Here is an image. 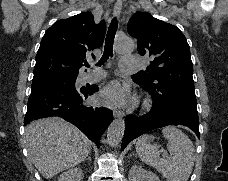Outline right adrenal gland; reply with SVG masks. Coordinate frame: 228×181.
I'll use <instances>...</instances> for the list:
<instances>
[{
	"instance_id": "1",
	"label": "right adrenal gland",
	"mask_w": 228,
	"mask_h": 181,
	"mask_svg": "<svg viewBox=\"0 0 228 181\" xmlns=\"http://www.w3.org/2000/svg\"><path fill=\"white\" fill-rule=\"evenodd\" d=\"M86 161H91V157H87Z\"/></svg>"
}]
</instances>
